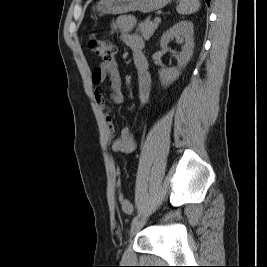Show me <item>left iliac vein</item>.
<instances>
[{
  "label": "left iliac vein",
  "mask_w": 267,
  "mask_h": 267,
  "mask_svg": "<svg viewBox=\"0 0 267 267\" xmlns=\"http://www.w3.org/2000/svg\"><path fill=\"white\" fill-rule=\"evenodd\" d=\"M146 222V219H140L137 222H135L134 224H132L131 228H130V236L133 237L134 235H136L141 228L144 226Z\"/></svg>",
  "instance_id": "4c4485c4"
}]
</instances>
